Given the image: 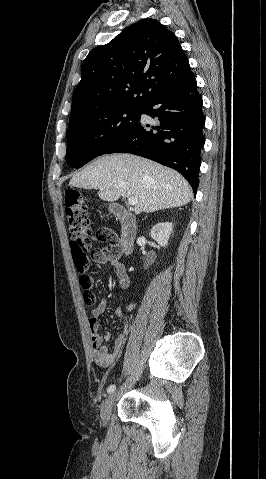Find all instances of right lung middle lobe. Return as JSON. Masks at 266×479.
<instances>
[{"label": "right lung middle lobe", "instance_id": "right-lung-middle-lobe-1", "mask_svg": "<svg viewBox=\"0 0 266 479\" xmlns=\"http://www.w3.org/2000/svg\"><path fill=\"white\" fill-rule=\"evenodd\" d=\"M142 107L117 108L69 121L66 160L80 168L103 155L140 120Z\"/></svg>", "mask_w": 266, "mask_h": 479}]
</instances>
